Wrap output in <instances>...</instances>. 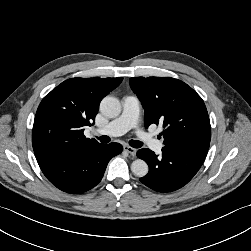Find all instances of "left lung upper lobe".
<instances>
[{
	"instance_id": "obj_1",
	"label": "left lung upper lobe",
	"mask_w": 251,
	"mask_h": 251,
	"mask_svg": "<svg viewBox=\"0 0 251 251\" xmlns=\"http://www.w3.org/2000/svg\"><path fill=\"white\" fill-rule=\"evenodd\" d=\"M129 82L145 110V127L160 124L164 128V147L206 156L210 120L202 98L191 87L169 77H133Z\"/></svg>"
}]
</instances>
